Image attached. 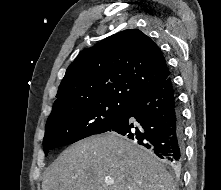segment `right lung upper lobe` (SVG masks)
I'll list each match as a JSON object with an SVG mask.
<instances>
[{"mask_svg": "<svg viewBox=\"0 0 221 190\" xmlns=\"http://www.w3.org/2000/svg\"><path fill=\"white\" fill-rule=\"evenodd\" d=\"M170 76L159 47L138 29L111 35L80 52L60 83L52 111L87 101H129Z\"/></svg>", "mask_w": 221, "mask_h": 190, "instance_id": "cb5924a9", "label": "right lung upper lobe"}]
</instances>
